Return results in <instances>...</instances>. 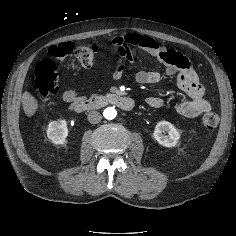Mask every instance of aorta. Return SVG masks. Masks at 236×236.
Segmentation results:
<instances>
[{
	"instance_id": "obj_1",
	"label": "aorta",
	"mask_w": 236,
	"mask_h": 236,
	"mask_svg": "<svg viewBox=\"0 0 236 236\" xmlns=\"http://www.w3.org/2000/svg\"><path fill=\"white\" fill-rule=\"evenodd\" d=\"M116 115H117V111L113 107H108L103 112V116L109 120L114 119Z\"/></svg>"
}]
</instances>
